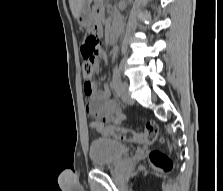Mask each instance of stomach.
Instances as JSON below:
<instances>
[{"label":"stomach","instance_id":"stomach-1","mask_svg":"<svg viewBox=\"0 0 223 191\" xmlns=\"http://www.w3.org/2000/svg\"><path fill=\"white\" fill-rule=\"evenodd\" d=\"M91 0H86L81 12L77 18L80 26L90 28L94 23V13L90 8Z\"/></svg>","mask_w":223,"mask_h":191}]
</instances>
